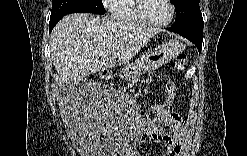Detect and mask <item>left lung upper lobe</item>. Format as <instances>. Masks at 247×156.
I'll list each match as a JSON object with an SVG mask.
<instances>
[{
  "instance_id": "left-lung-upper-lobe-1",
  "label": "left lung upper lobe",
  "mask_w": 247,
  "mask_h": 156,
  "mask_svg": "<svg viewBox=\"0 0 247 156\" xmlns=\"http://www.w3.org/2000/svg\"><path fill=\"white\" fill-rule=\"evenodd\" d=\"M176 10L174 25H183L201 15L199 0H173Z\"/></svg>"
}]
</instances>
